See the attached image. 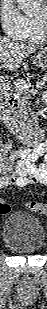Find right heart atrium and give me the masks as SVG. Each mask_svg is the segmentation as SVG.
Instances as JSON below:
<instances>
[{
	"label": "right heart atrium",
	"instance_id": "d8ad5b80",
	"mask_svg": "<svg viewBox=\"0 0 47 309\" xmlns=\"http://www.w3.org/2000/svg\"><path fill=\"white\" fill-rule=\"evenodd\" d=\"M0 23L7 37L20 40L26 31V17L13 0H0Z\"/></svg>",
	"mask_w": 47,
	"mask_h": 309
}]
</instances>
